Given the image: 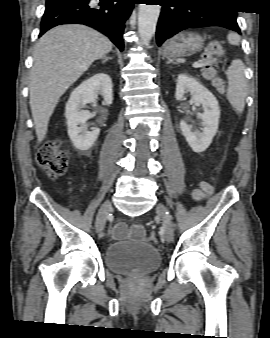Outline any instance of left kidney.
I'll return each instance as SVG.
<instances>
[{"mask_svg": "<svg viewBox=\"0 0 270 338\" xmlns=\"http://www.w3.org/2000/svg\"><path fill=\"white\" fill-rule=\"evenodd\" d=\"M185 93H190L195 104H201L204 112L201 114L202 132L192 131L185 121L180 122V129L189 146L196 153L205 151L217 133L220 108L216 97L195 78L179 74L177 78L175 97L181 100Z\"/></svg>", "mask_w": 270, "mask_h": 338, "instance_id": "obj_1", "label": "left kidney"}]
</instances>
